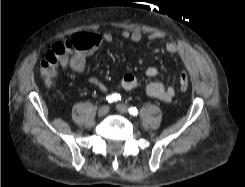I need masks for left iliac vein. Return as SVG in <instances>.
<instances>
[{
  "instance_id": "4c4485c4",
  "label": "left iliac vein",
  "mask_w": 245,
  "mask_h": 187,
  "mask_svg": "<svg viewBox=\"0 0 245 187\" xmlns=\"http://www.w3.org/2000/svg\"><path fill=\"white\" fill-rule=\"evenodd\" d=\"M116 109L119 113H127L128 112V107L125 104L119 103L116 105Z\"/></svg>"
}]
</instances>
